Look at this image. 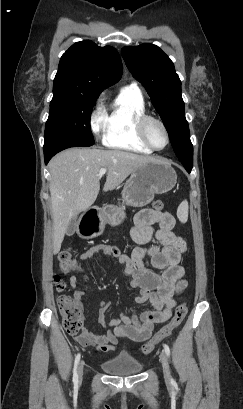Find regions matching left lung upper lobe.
Returning a JSON list of instances; mask_svg holds the SVG:
<instances>
[{"label": "left lung upper lobe", "mask_w": 243, "mask_h": 409, "mask_svg": "<svg viewBox=\"0 0 243 409\" xmlns=\"http://www.w3.org/2000/svg\"><path fill=\"white\" fill-rule=\"evenodd\" d=\"M122 57L132 75L145 87L163 124L178 159L193 164V146L181 96V81L173 62L156 45L127 46Z\"/></svg>", "instance_id": "obj_1"}]
</instances>
